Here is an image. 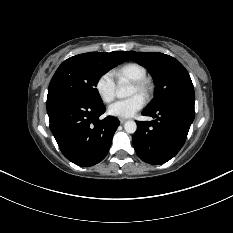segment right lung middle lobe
Masks as SVG:
<instances>
[{
    "instance_id": "right-lung-middle-lobe-1",
    "label": "right lung middle lobe",
    "mask_w": 233,
    "mask_h": 233,
    "mask_svg": "<svg viewBox=\"0 0 233 233\" xmlns=\"http://www.w3.org/2000/svg\"><path fill=\"white\" fill-rule=\"evenodd\" d=\"M126 61L120 55L99 52L79 54L65 60L49 84L47 100L69 98L100 107L103 102L96 85L100 77Z\"/></svg>"
}]
</instances>
